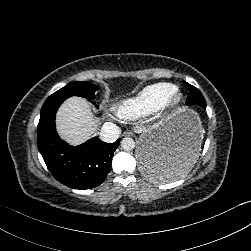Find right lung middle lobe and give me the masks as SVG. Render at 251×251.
I'll list each match as a JSON object with an SVG mask.
<instances>
[{"label":"right lung middle lobe","mask_w":251,"mask_h":251,"mask_svg":"<svg viewBox=\"0 0 251 251\" xmlns=\"http://www.w3.org/2000/svg\"><path fill=\"white\" fill-rule=\"evenodd\" d=\"M97 86L90 82H72L64 86L63 88L56 91L49 98H68L70 96H80L88 100H93L95 98V92L97 91Z\"/></svg>","instance_id":"right-lung-middle-lobe-1"}]
</instances>
